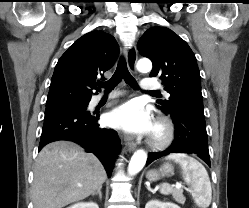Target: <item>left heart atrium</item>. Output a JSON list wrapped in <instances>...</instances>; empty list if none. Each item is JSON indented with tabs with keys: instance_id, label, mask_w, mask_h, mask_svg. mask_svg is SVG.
<instances>
[{
	"instance_id": "left-heart-atrium-1",
	"label": "left heart atrium",
	"mask_w": 249,
	"mask_h": 208,
	"mask_svg": "<svg viewBox=\"0 0 249 208\" xmlns=\"http://www.w3.org/2000/svg\"><path fill=\"white\" fill-rule=\"evenodd\" d=\"M108 122L130 134H150L154 129L151 118L137 101H129L117 107L108 115Z\"/></svg>"
}]
</instances>
